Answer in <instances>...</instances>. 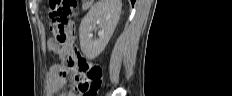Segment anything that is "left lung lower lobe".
Instances as JSON below:
<instances>
[{
  "label": "left lung lower lobe",
  "mask_w": 232,
  "mask_h": 96,
  "mask_svg": "<svg viewBox=\"0 0 232 96\" xmlns=\"http://www.w3.org/2000/svg\"><path fill=\"white\" fill-rule=\"evenodd\" d=\"M132 4H134L135 0H131Z\"/></svg>",
  "instance_id": "obj_1"
}]
</instances>
